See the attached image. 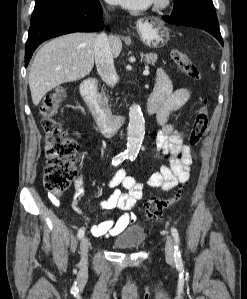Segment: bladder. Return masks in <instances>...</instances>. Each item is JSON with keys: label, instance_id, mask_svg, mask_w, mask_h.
<instances>
[{"label": "bladder", "instance_id": "bladder-1", "mask_svg": "<svg viewBox=\"0 0 247 299\" xmlns=\"http://www.w3.org/2000/svg\"><path fill=\"white\" fill-rule=\"evenodd\" d=\"M146 240V232L141 226H131L123 231L113 242L121 250H134L141 247Z\"/></svg>", "mask_w": 247, "mask_h": 299}]
</instances>
